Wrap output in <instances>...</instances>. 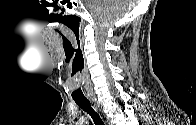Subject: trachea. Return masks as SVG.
<instances>
[{"instance_id":"3493384b","label":"trachea","mask_w":196,"mask_h":125,"mask_svg":"<svg viewBox=\"0 0 196 125\" xmlns=\"http://www.w3.org/2000/svg\"><path fill=\"white\" fill-rule=\"evenodd\" d=\"M76 104L83 109L84 111H86L87 113H89L95 123V125H104L102 119L100 118V116L93 110V108L90 105V102L87 99H83V100H75Z\"/></svg>"}]
</instances>
